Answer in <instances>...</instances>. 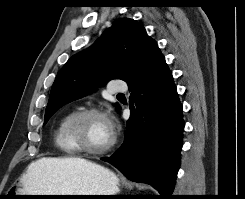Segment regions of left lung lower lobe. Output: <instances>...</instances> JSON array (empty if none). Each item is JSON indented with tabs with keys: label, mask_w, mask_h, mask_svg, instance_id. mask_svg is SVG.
<instances>
[{
	"label": "left lung lower lobe",
	"mask_w": 245,
	"mask_h": 199,
	"mask_svg": "<svg viewBox=\"0 0 245 199\" xmlns=\"http://www.w3.org/2000/svg\"><path fill=\"white\" fill-rule=\"evenodd\" d=\"M128 84L130 118L121 147L108 158L131 181L152 185L161 199L173 191L180 165L184 122L172 73L158 50Z\"/></svg>",
	"instance_id": "obj_1"
}]
</instances>
